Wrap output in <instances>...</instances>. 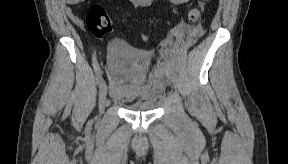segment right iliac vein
<instances>
[{
    "instance_id": "obj_1",
    "label": "right iliac vein",
    "mask_w": 288,
    "mask_h": 164,
    "mask_svg": "<svg viewBox=\"0 0 288 164\" xmlns=\"http://www.w3.org/2000/svg\"><path fill=\"white\" fill-rule=\"evenodd\" d=\"M107 85L105 82H102L100 85V91H99V110L100 113H102L107 105Z\"/></svg>"
}]
</instances>
